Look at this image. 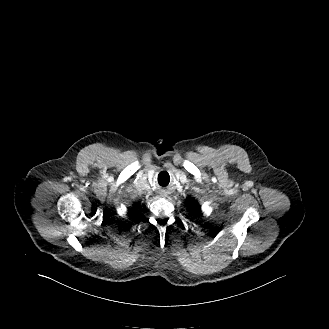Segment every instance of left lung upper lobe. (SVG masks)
Listing matches in <instances>:
<instances>
[{
  "label": "left lung upper lobe",
  "instance_id": "left-lung-upper-lobe-1",
  "mask_svg": "<svg viewBox=\"0 0 329 329\" xmlns=\"http://www.w3.org/2000/svg\"><path fill=\"white\" fill-rule=\"evenodd\" d=\"M188 206L190 207V209L192 210L193 214H195V215H197V214H199L201 212L200 206L192 198L188 200Z\"/></svg>",
  "mask_w": 329,
  "mask_h": 329
}]
</instances>
